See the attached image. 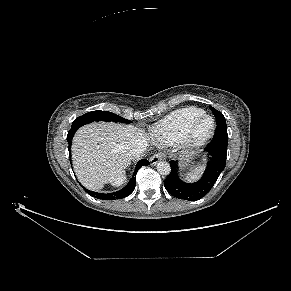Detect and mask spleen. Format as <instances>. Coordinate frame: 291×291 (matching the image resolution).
Returning <instances> with one entry per match:
<instances>
[{"label":"spleen","mask_w":291,"mask_h":291,"mask_svg":"<svg viewBox=\"0 0 291 291\" xmlns=\"http://www.w3.org/2000/svg\"><path fill=\"white\" fill-rule=\"evenodd\" d=\"M205 168L206 166L204 164L196 166L193 170L186 174L185 180L187 182H194L198 180L202 176Z\"/></svg>","instance_id":"obj_1"}]
</instances>
